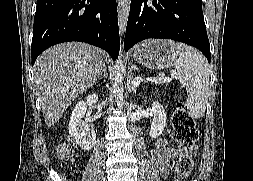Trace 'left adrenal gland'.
Returning a JSON list of instances; mask_svg holds the SVG:
<instances>
[{"label": "left adrenal gland", "instance_id": "left-adrenal-gland-1", "mask_svg": "<svg viewBox=\"0 0 253 181\" xmlns=\"http://www.w3.org/2000/svg\"><path fill=\"white\" fill-rule=\"evenodd\" d=\"M130 91H133V92H135V91H136V87L132 84V82H131V88H130Z\"/></svg>", "mask_w": 253, "mask_h": 181}]
</instances>
